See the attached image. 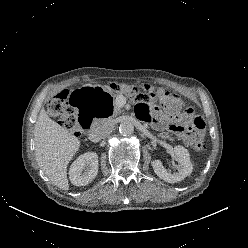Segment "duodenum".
I'll use <instances>...</instances> for the list:
<instances>
[{"instance_id": "410a0bca", "label": "duodenum", "mask_w": 248, "mask_h": 248, "mask_svg": "<svg viewBox=\"0 0 248 248\" xmlns=\"http://www.w3.org/2000/svg\"><path fill=\"white\" fill-rule=\"evenodd\" d=\"M93 118L94 116L92 115L91 112L84 114V116L82 117L81 123L85 130H88L90 128Z\"/></svg>"}]
</instances>
